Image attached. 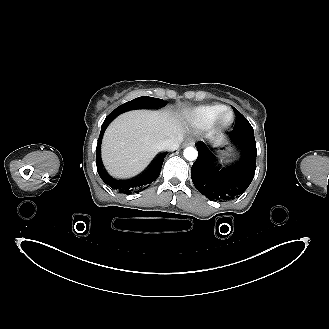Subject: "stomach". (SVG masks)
<instances>
[{
    "label": "stomach",
    "mask_w": 329,
    "mask_h": 329,
    "mask_svg": "<svg viewBox=\"0 0 329 329\" xmlns=\"http://www.w3.org/2000/svg\"><path fill=\"white\" fill-rule=\"evenodd\" d=\"M221 146L222 148L217 151V157L220 159L221 162H224L232 155V153L231 149L229 147H226L224 143L221 144Z\"/></svg>",
    "instance_id": "stomach-1"
}]
</instances>
